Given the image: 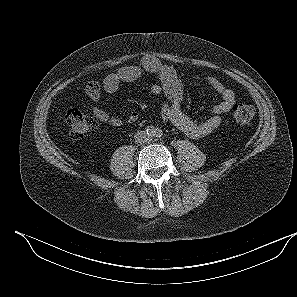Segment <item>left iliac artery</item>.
I'll return each mask as SVG.
<instances>
[{
    "instance_id": "left-iliac-artery-1",
    "label": "left iliac artery",
    "mask_w": 297,
    "mask_h": 297,
    "mask_svg": "<svg viewBox=\"0 0 297 297\" xmlns=\"http://www.w3.org/2000/svg\"><path fill=\"white\" fill-rule=\"evenodd\" d=\"M162 135H163V131L161 129L157 128L155 130V136L156 137H161Z\"/></svg>"
}]
</instances>
